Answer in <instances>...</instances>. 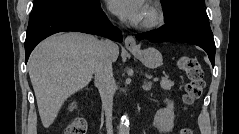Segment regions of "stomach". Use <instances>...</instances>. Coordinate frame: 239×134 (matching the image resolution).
<instances>
[{
	"instance_id": "1",
	"label": "stomach",
	"mask_w": 239,
	"mask_h": 134,
	"mask_svg": "<svg viewBox=\"0 0 239 134\" xmlns=\"http://www.w3.org/2000/svg\"><path fill=\"white\" fill-rule=\"evenodd\" d=\"M130 52L139 59L147 68H157L162 65L163 58L161 53L155 48L140 50L139 48L130 49Z\"/></svg>"
}]
</instances>
